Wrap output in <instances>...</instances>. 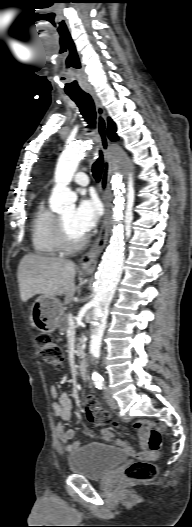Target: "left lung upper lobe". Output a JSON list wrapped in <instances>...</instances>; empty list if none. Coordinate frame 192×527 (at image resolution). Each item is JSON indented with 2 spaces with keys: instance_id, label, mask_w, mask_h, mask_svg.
Instances as JSON below:
<instances>
[{
  "instance_id": "5c2ea615",
  "label": "left lung upper lobe",
  "mask_w": 192,
  "mask_h": 527,
  "mask_svg": "<svg viewBox=\"0 0 192 527\" xmlns=\"http://www.w3.org/2000/svg\"><path fill=\"white\" fill-rule=\"evenodd\" d=\"M108 137L112 141H116L118 139L116 135V127L114 122L109 118L108 119V129H107Z\"/></svg>"
}]
</instances>
